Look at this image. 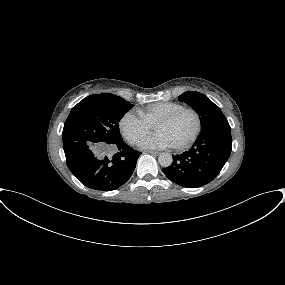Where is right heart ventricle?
Here are the masks:
<instances>
[{"instance_id": "right-heart-ventricle-1", "label": "right heart ventricle", "mask_w": 285, "mask_h": 285, "mask_svg": "<svg viewBox=\"0 0 285 285\" xmlns=\"http://www.w3.org/2000/svg\"><path fill=\"white\" fill-rule=\"evenodd\" d=\"M182 107H184V105L179 102L163 101L151 104L144 109H140L138 112L153 126L160 118Z\"/></svg>"}]
</instances>
